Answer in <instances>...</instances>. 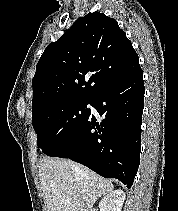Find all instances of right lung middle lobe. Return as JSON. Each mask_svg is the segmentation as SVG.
I'll use <instances>...</instances> for the list:
<instances>
[{
    "label": "right lung middle lobe",
    "instance_id": "obj_1",
    "mask_svg": "<svg viewBox=\"0 0 178 211\" xmlns=\"http://www.w3.org/2000/svg\"><path fill=\"white\" fill-rule=\"evenodd\" d=\"M92 99H71L48 105L33 115L37 146L46 155L75 133L90 114Z\"/></svg>",
    "mask_w": 178,
    "mask_h": 211
}]
</instances>
